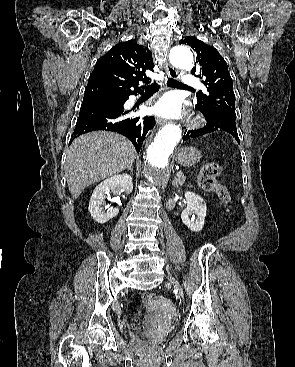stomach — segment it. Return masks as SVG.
I'll return each mask as SVG.
<instances>
[{
	"instance_id": "obj_1",
	"label": "stomach",
	"mask_w": 295,
	"mask_h": 367,
	"mask_svg": "<svg viewBox=\"0 0 295 367\" xmlns=\"http://www.w3.org/2000/svg\"><path fill=\"white\" fill-rule=\"evenodd\" d=\"M201 153L194 147L181 148L175 155L176 161L184 167H191L200 162Z\"/></svg>"
}]
</instances>
